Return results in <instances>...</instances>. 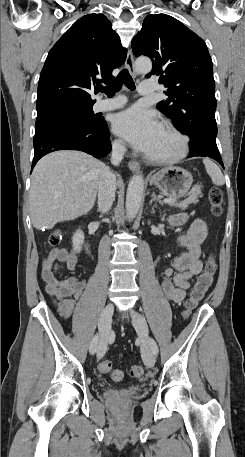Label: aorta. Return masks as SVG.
<instances>
[{"label":"aorta","mask_w":245,"mask_h":457,"mask_svg":"<svg viewBox=\"0 0 245 457\" xmlns=\"http://www.w3.org/2000/svg\"><path fill=\"white\" fill-rule=\"evenodd\" d=\"M135 68L140 73H149L152 62L148 58H139L135 61ZM144 190L142 174H135L129 182L126 194V213L129 218H134L141 206Z\"/></svg>","instance_id":"762f6f07"}]
</instances>
